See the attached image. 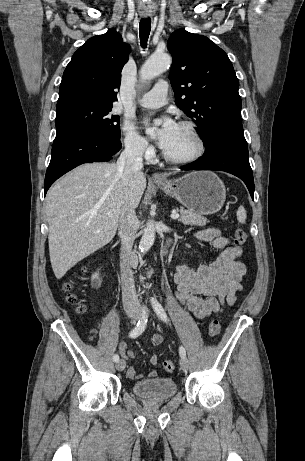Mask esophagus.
<instances>
[{"instance_id": "obj_1", "label": "esophagus", "mask_w": 305, "mask_h": 461, "mask_svg": "<svg viewBox=\"0 0 305 461\" xmlns=\"http://www.w3.org/2000/svg\"><path fill=\"white\" fill-rule=\"evenodd\" d=\"M152 180H154V181H164L165 177L160 173H154L153 176H152Z\"/></svg>"}]
</instances>
